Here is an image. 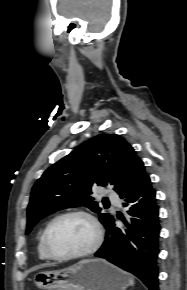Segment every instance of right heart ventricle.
I'll return each mask as SVG.
<instances>
[{
	"label": "right heart ventricle",
	"mask_w": 187,
	"mask_h": 290,
	"mask_svg": "<svg viewBox=\"0 0 187 290\" xmlns=\"http://www.w3.org/2000/svg\"><path fill=\"white\" fill-rule=\"evenodd\" d=\"M43 233L44 232H42L40 234V236H39L38 244H37V251H38L39 258L41 260L49 261V260H51V258L48 256V254L46 253V251L44 249V245H43Z\"/></svg>",
	"instance_id": "e07e8e85"
}]
</instances>
